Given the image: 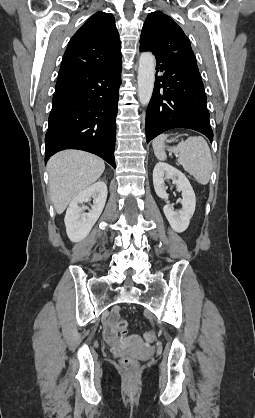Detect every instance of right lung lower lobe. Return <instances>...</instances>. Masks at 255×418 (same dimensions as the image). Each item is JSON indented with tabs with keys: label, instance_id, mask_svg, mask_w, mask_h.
I'll use <instances>...</instances> for the list:
<instances>
[{
	"label": "right lung lower lobe",
	"instance_id": "right-lung-lower-lobe-1",
	"mask_svg": "<svg viewBox=\"0 0 255 418\" xmlns=\"http://www.w3.org/2000/svg\"><path fill=\"white\" fill-rule=\"evenodd\" d=\"M121 62L58 76L45 136V161L64 149L96 154L115 168Z\"/></svg>",
	"mask_w": 255,
	"mask_h": 418
}]
</instances>
